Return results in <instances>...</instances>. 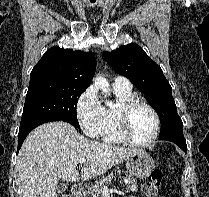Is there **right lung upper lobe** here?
<instances>
[{"label": "right lung upper lobe", "instance_id": "cb5924a9", "mask_svg": "<svg viewBox=\"0 0 209 197\" xmlns=\"http://www.w3.org/2000/svg\"><path fill=\"white\" fill-rule=\"evenodd\" d=\"M96 70L95 56L54 46L47 50L30 74V82H70L89 86Z\"/></svg>", "mask_w": 209, "mask_h": 197}]
</instances>
